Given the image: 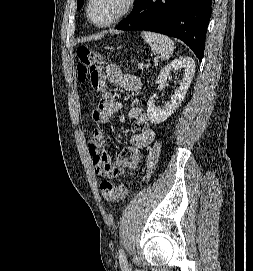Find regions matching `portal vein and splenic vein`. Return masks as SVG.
<instances>
[{"label":"portal vein and splenic vein","mask_w":253,"mask_h":271,"mask_svg":"<svg viewBox=\"0 0 253 271\" xmlns=\"http://www.w3.org/2000/svg\"><path fill=\"white\" fill-rule=\"evenodd\" d=\"M138 67H139L140 69H144V68H145V65H144L143 63H139Z\"/></svg>","instance_id":"portal-vein-and-splenic-vein-1"}]
</instances>
